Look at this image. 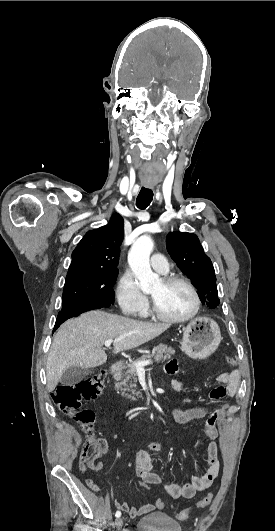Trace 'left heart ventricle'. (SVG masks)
Wrapping results in <instances>:
<instances>
[{
	"instance_id": "obj_1",
	"label": "left heart ventricle",
	"mask_w": 275,
	"mask_h": 531,
	"mask_svg": "<svg viewBox=\"0 0 275 531\" xmlns=\"http://www.w3.org/2000/svg\"><path fill=\"white\" fill-rule=\"evenodd\" d=\"M158 310L170 317L187 315L194 306L189 289L182 283L165 284L162 280L150 292Z\"/></svg>"
}]
</instances>
